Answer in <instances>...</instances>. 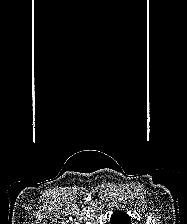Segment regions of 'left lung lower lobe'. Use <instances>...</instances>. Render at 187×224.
Masks as SVG:
<instances>
[{
	"mask_svg": "<svg viewBox=\"0 0 187 224\" xmlns=\"http://www.w3.org/2000/svg\"><path fill=\"white\" fill-rule=\"evenodd\" d=\"M112 224H130L131 219L125 212L122 211H115L112 216L111 220Z\"/></svg>",
	"mask_w": 187,
	"mask_h": 224,
	"instance_id": "0a47b994",
	"label": "left lung lower lobe"
}]
</instances>
